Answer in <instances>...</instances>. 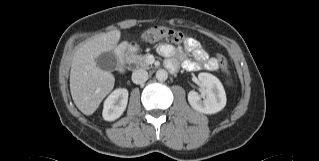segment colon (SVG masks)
<instances>
[{
    "label": "colon",
    "instance_id": "5ec220e1",
    "mask_svg": "<svg viewBox=\"0 0 319 161\" xmlns=\"http://www.w3.org/2000/svg\"><path fill=\"white\" fill-rule=\"evenodd\" d=\"M144 39L147 42L167 40L172 43L178 44L184 41L185 34L179 30L156 26L144 33ZM210 68L213 70L222 69L224 72L229 73L228 65L226 64L224 58H222L221 56H216L212 60V62L210 63Z\"/></svg>",
    "mask_w": 319,
    "mask_h": 161
}]
</instances>
